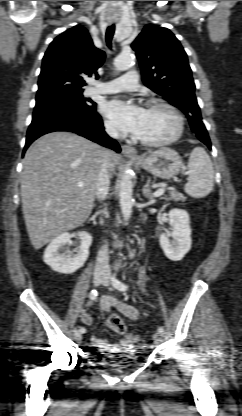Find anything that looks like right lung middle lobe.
Instances as JSON below:
<instances>
[{
  "instance_id": "1",
  "label": "right lung middle lobe",
  "mask_w": 242,
  "mask_h": 416,
  "mask_svg": "<svg viewBox=\"0 0 242 416\" xmlns=\"http://www.w3.org/2000/svg\"><path fill=\"white\" fill-rule=\"evenodd\" d=\"M48 103H61L81 109L93 108L96 105L89 98H84L82 89L79 88H61L51 94L37 96L35 107Z\"/></svg>"
}]
</instances>
